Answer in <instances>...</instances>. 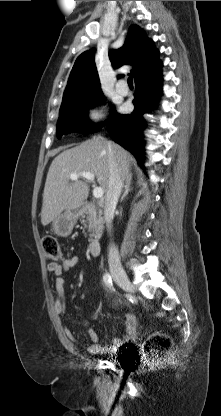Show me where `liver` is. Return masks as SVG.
I'll list each match as a JSON object with an SVG mask.
<instances>
[{"label": "liver", "instance_id": "obj_1", "mask_svg": "<svg viewBox=\"0 0 221 416\" xmlns=\"http://www.w3.org/2000/svg\"><path fill=\"white\" fill-rule=\"evenodd\" d=\"M110 160L118 168L122 181L131 177L132 156L120 145L93 137L71 149L64 150L52 161L43 192L41 223H51L64 210L80 207L87 199L89 186L84 180L70 182L71 173L91 172L103 192L107 193L110 178Z\"/></svg>", "mask_w": 221, "mask_h": 416}]
</instances>
